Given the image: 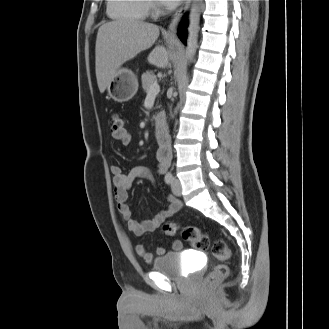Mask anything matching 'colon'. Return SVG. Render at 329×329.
I'll return each mask as SVG.
<instances>
[{
    "instance_id": "1",
    "label": "colon",
    "mask_w": 329,
    "mask_h": 329,
    "mask_svg": "<svg viewBox=\"0 0 329 329\" xmlns=\"http://www.w3.org/2000/svg\"><path fill=\"white\" fill-rule=\"evenodd\" d=\"M126 128V118L119 114L111 115V132L114 136H120ZM179 230V225L174 222H167L162 225V232L167 236H174ZM182 237L185 241L198 249H208L210 246L209 236L199 227L186 226L182 230ZM213 255L220 261H226L230 257V252L222 240H217L212 246ZM229 274V268L225 263H219L207 274L205 283L213 285L223 281Z\"/></svg>"
}]
</instances>
